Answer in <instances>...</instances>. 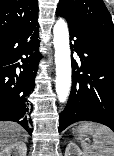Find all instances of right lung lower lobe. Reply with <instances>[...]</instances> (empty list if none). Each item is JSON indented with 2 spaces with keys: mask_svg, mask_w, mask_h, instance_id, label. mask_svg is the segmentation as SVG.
Listing matches in <instances>:
<instances>
[{
  "mask_svg": "<svg viewBox=\"0 0 114 156\" xmlns=\"http://www.w3.org/2000/svg\"><path fill=\"white\" fill-rule=\"evenodd\" d=\"M38 28L35 20L0 37V121L17 122L30 135L32 106L28 97L41 59Z\"/></svg>",
  "mask_w": 114,
  "mask_h": 156,
  "instance_id": "98d812e1",
  "label": "right lung lower lobe"
}]
</instances>
